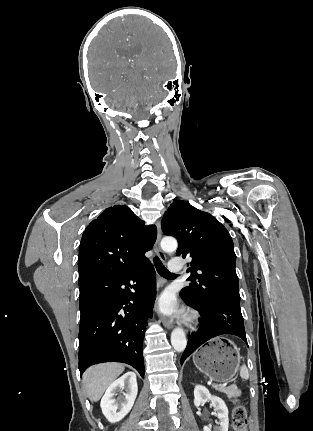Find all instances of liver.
Here are the masks:
<instances>
[{"label": "liver", "mask_w": 313, "mask_h": 431, "mask_svg": "<svg viewBox=\"0 0 313 431\" xmlns=\"http://www.w3.org/2000/svg\"><path fill=\"white\" fill-rule=\"evenodd\" d=\"M123 371L124 365L118 363L98 364L88 368L83 375V382L89 399L97 402Z\"/></svg>", "instance_id": "obj_1"}]
</instances>
